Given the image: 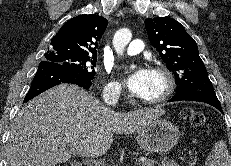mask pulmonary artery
<instances>
[{
    "label": "pulmonary artery",
    "mask_w": 231,
    "mask_h": 166,
    "mask_svg": "<svg viewBox=\"0 0 231 166\" xmlns=\"http://www.w3.org/2000/svg\"><path fill=\"white\" fill-rule=\"evenodd\" d=\"M144 49V43L140 39L132 40L127 48V55L133 56L139 54Z\"/></svg>",
    "instance_id": "pulmonary-artery-1"
}]
</instances>
